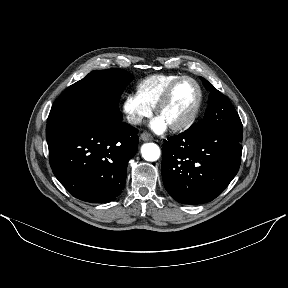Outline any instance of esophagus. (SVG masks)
Here are the masks:
<instances>
[{
	"label": "esophagus",
	"mask_w": 288,
	"mask_h": 288,
	"mask_svg": "<svg viewBox=\"0 0 288 288\" xmlns=\"http://www.w3.org/2000/svg\"><path fill=\"white\" fill-rule=\"evenodd\" d=\"M140 138L143 140V141H152L153 140V137L150 133L148 132H143L141 135H140Z\"/></svg>",
	"instance_id": "1"
}]
</instances>
